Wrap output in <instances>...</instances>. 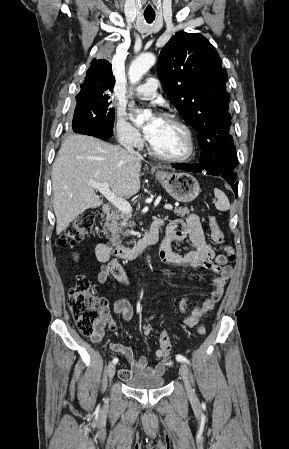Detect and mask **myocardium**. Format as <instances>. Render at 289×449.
<instances>
[{
  "mask_svg": "<svg viewBox=\"0 0 289 449\" xmlns=\"http://www.w3.org/2000/svg\"><path fill=\"white\" fill-rule=\"evenodd\" d=\"M162 119L176 125L184 132L186 139H187V143H188L187 152L181 156L163 155V154L157 152L151 145L150 141L148 140L147 149H148L149 153L152 156H154L160 160L167 161V162L181 163V162H186V161L191 160L194 157L195 152H196V144H195L194 135H193L191 129L189 128V126L186 123H184L181 119H179L178 117L171 115V114L163 115Z\"/></svg>",
  "mask_w": 289,
  "mask_h": 449,
  "instance_id": "1",
  "label": "myocardium"
}]
</instances>
